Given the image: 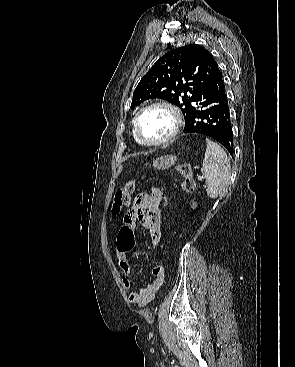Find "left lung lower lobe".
Here are the masks:
<instances>
[{
	"instance_id": "obj_1",
	"label": "left lung lower lobe",
	"mask_w": 295,
	"mask_h": 367,
	"mask_svg": "<svg viewBox=\"0 0 295 367\" xmlns=\"http://www.w3.org/2000/svg\"><path fill=\"white\" fill-rule=\"evenodd\" d=\"M183 132L209 136L222 144L230 154H233L230 108L218 66L185 116Z\"/></svg>"
}]
</instances>
